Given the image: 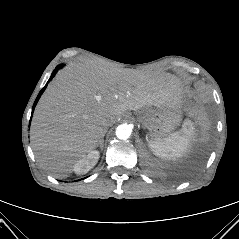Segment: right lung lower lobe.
Wrapping results in <instances>:
<instances>
[{
    "instance_id": "98d812e1",
    "label": "right lung lower lobe",
    "mask_w": 239,
    "mask_h": 239,
    "mask_svg": "<svg viewBox=\"0 0 239 239\" xmlns=\"http://www.w3.org/2000/svg\"><path fill=\"white\" fill-rule=\"evenodd\" d=\"M59 68H61V67L56 68L55 71H57ZM55 74H56V72L52 73V75H51L50 79L48 80V82H50V81L52 80V78L55 76ZM48 82H47V83H48ZM46 87H47V85H45V86L42 88V90L40 91V93L38 94V96H37V98H36V100H35V102H34L33 108H32V113H33V111H34V108H35V106H36V104H37L39 98L41 97V95H42V93L44 92V90L46 89Z\"/></svg>"
}]
</instances>
